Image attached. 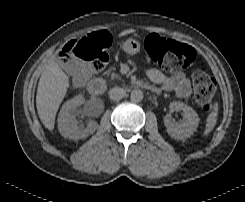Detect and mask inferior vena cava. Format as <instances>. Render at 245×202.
I'll use <instances>...</instances> for the list:
<instances>
[{
	"label": "inferior vena cava",
	"instance_id": "inferior-vena-cava-1",
	"mask_svg": "<svg viewBox=\"0 0 245 202\" xmlns=\"http://www.w3.org/2000/svg\"><path fill=\"white\" fill-rule=\"evenodd\" d=\"M126 95V92L123 88L114 87L109 91V97L112 100H120Z\"/></svg>",
	"mask_w": 245,
	"mask_h": 202
}]
</instances>
